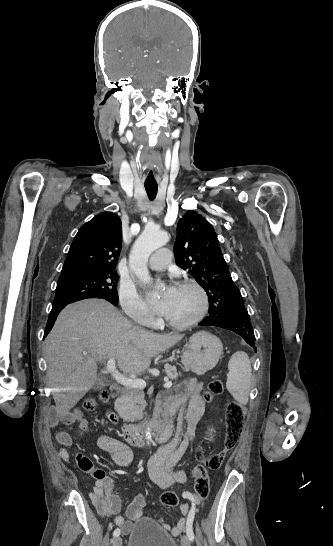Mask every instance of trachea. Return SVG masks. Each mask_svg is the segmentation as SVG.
Wrapping results in <instances>:
<instances>
[{
  "label": "trachea",
  "mask_w": 333,
  "mask_h": 546,
  "mask_svg": "<svg viewBox=\"0 0 333 546\" xmlns=\"http://www.w3.org/2000/svg\"><path fill=\"white\" fill-rule=\"evenodd\" d=\"M153 177V172L150 171L149 174H148V177ZM145 190L147 192V195L149 197L150 200H153L155 199L156 195H157V190H158V184H148V183H145Z\"/></svg>",
  "instance_id": "obj_1"
}]
</instances>
